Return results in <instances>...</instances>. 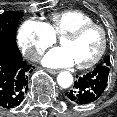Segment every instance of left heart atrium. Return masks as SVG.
<instances>
[{"label": "left heart atrium", "instance_id": "left-heart-atrium-1", "mask_svg": "<svg viewBox=\"0 0 117 117\" xmlns=\"http://www.w3.org/2000/svg\"><path fill=\"white\" fill-rule=\"evenodd\" d=\"M42 63L53 68L69 67L76 64L71 52L66 47L52 49L43 57Z\"/></svg>", "mask_w": 117, "mask_h": 117}]
</instances>
